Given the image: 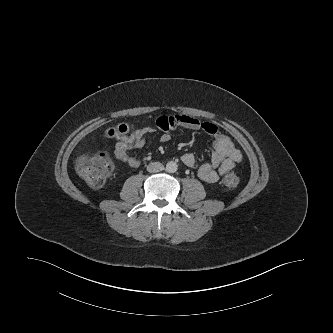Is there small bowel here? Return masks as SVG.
Returning a JSON list of instances; mask_svg holds the SVG:
<instances>
[{"label": "small bowel", "instance_id": "obj_1", "mask_svg": "<svg viewBox=\"0 0 333 333\" xmlns=\"http://www.w3.org/2000/svg\"><path fill=\"white\" fill-rule=\"evenodd\" d=\"M156 126L161 131V142H168L171 139L170 131L179 126L190 130L203 131L212 136L213 153L211 160L198 169L199 178L206 183H216L222 175L231 171L242 159V153L236 148L233 141L210 122L186 115L161 116L156 120ZM154 132L155 129L152 127H142L129 135L118 137L114 148V156L130 167H138L141 163L140 159L130 155V152L143 148L147 136ZM181 159L185 166L194 167L195 156L192 153H185Z\"/></svg>", "mask_w": 333, "mask_h": 333}]
</instances>
